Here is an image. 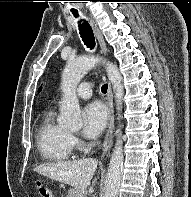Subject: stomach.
Returning <instances> with one entry per match:
<instances>
[{
  "label": "stomach",
  "instance_id": "1",
  "mask_svg": "<svg viewBox=\"0 0 191 197\" xmlns=\"http://www.w3.org/2000/svg\"><path fill=\"white\" fill-rule=\"evenodd\" d=\"M84 194H85L84 192H82L77 188H71L68 192L67 197H84Z\"/></svg>",
  "mask_w": 191,
  "mask_h": 197
}]
</instances>
